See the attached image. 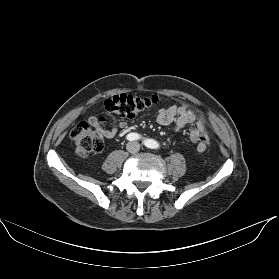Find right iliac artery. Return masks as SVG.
Returning a JSON list of instances; mask_svg holds the SVG:
<instances>
[{
	"label": "right iliac artery",
	"instance_id": "obj_1",
	"mask_svg": "<svg viewBox=\"0 0 279 279\" xmlns=\"http://www.w3.org/2000/svg\"><path fill=\"white\" fill-rule=\"evenodd\" d=\"M140 138H141V136L137 133H130L126 136V139L129 140V141L138 140Z\"/></svg>",
	"mask_w": 279,
	"mask_h": 279
}]
</instances>
